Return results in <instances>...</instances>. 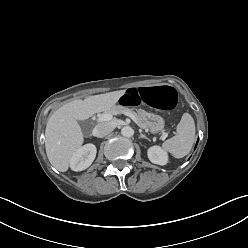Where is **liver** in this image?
I'll return each instance as SVG.
<instances>
[{
	"label": "liver",
	"mask_w": 248,
	"mask_h": 248,
	"mask_svg": "<svg viewBox=\"0 0 248 248\" xmlns=\"http://www.w3.org/2000/svg\"><path fill=\"white\" fill-rule=\"evenodd\" d=\"M125 90L76 99L56 110L45 129V148L53 167L60 172L69 168L72 155L82 146L84 135L78 121L112 108Z\"/></svg>",
	"instance_id": "6515ba94"
}]
</instances>
